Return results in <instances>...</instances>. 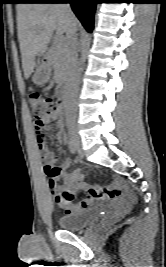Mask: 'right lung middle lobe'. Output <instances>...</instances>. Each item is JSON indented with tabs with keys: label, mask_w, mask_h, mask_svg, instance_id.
Here are the masks:
<instances>
[{
	"label": "right lung middle lobe",
	"mask_w": 166,
	"mask_h": 267,
	"mask_svg": "<svg viewBox=\"0 0 166 267\" xmlns=\"http://www.w3.org/2000/svg\"><path fill=\"white\" fill-rule=\"evenodd\" d=\"M20 2H30V1H33V0H18Z\"/></svg>",
	"instance_id": "obj_1"
}]
</instances>
